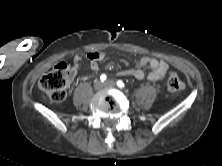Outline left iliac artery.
I'll return each instance as SVG.
<instances>
[{
	"instance_id": "left-iliac-artery-1",
	"label": "left iliac artery",
	"mask_w": 222,
	"mask_h": 166,
	"mask_svg": "<svg viewBox=\"0 0 222 166\" xmlns=\"http://www.w3.org/2000/svg\"><path fill=\"white\" fill-rule=\"evenodd\" d=\"M117 86H118L119 88H123V87L125 86V84L123 83V81L118 80V81H117Z\"/></svg>"
}]
</instances>
